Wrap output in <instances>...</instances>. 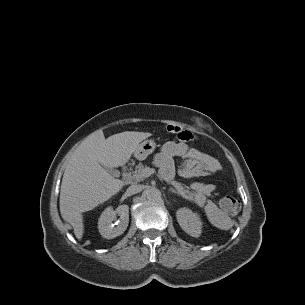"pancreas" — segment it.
I'll return each mask as SVG.
<instances>
[{
	"label": "pancreas",
	"mask_w": 305,
	"mask_h": 305,
	"mask_svg": "<svg viewBox=\"0 0 305 305\" xmlns=\"http://www.w3.org/2000/svg\"><path fill=\"white\" fill-rule=\"evenodd\" d=\"M145 168L147 167L144 166L142 163H139L135 167V171H133L129 175L130 182L138 183L142 181L143 178L141 177V173ZM173 185L176 187L177 191L187 200L192 201L199 206H204V204L206 203L205 195L209 192L210 186L197 182L193 183L190 188L188 186H182L181 183L173 182Z\"/></svg>",
	"instance_id": "1"
}]
</instances>
